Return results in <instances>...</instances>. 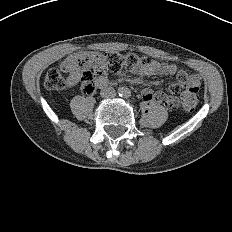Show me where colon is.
Instances as JSON below:
<instances>
[{
	"label": "colon",
	"instance_id": "1",
	"mask_svg": "<svg viewBox=\"0 0 232 232\" xmlns=\"http://www.w3.org/2000/svg\"><path fill=\"white\" fill-rule=\"evenodd\" d=\"M76 63L83 69L81 89L84 93L90 94L93 92L94 81L97 76L107 72H118L122 68L134 70L144 67L149 64V59L135 54L97 53L78 59ZM63 64L62 70L65 71ZM44 85L48 90H60L66 86V79L60 69L53 67L47 71ZM198 90V88L190 87L186 81L182 80L172 87L170 95L158 93L155 100L169 108H175L181 104L184 110L192 111L198 101Z\"/></svg>",
	"mask_w": 232,
	"mask_h": 232
}]
</instances>
